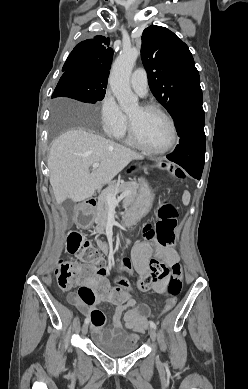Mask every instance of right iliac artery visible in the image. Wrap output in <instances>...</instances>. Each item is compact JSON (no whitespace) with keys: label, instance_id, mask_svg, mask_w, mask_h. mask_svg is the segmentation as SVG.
<instances>
[{"label":"right iliac artery","instance_id":"1","mask_svg":"<svg viewBox=\"0 0 248 389\" xmlns=\"http://www.w3.org/2000/svg\"><path fill=\"white\" fill-rule=\"evenodd\" d=\"M89 321H90V320H89V318H86V319H85V323H87V324H88V323H89Z\"/></svg>","mask_w":248,"mask_h":389}]
</instances>
